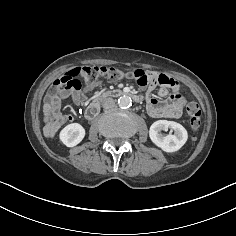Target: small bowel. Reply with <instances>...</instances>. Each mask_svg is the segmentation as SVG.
<instances>
[{"label":"small bowel","instance_id":"c3829d8e","mask_svg":"<svg viewBox=\"0 0 236 236\" xmlns=\"http://www.w3.org/2000/svg\"><path fill=\"white\" fill-rule=\"evenodd\" d=\"M147 74L149 75V82L148 84L141 86L149 85L152 88L158 85V95L162 98L161 100L153 97L146 98V108L148 113L155 118H179L183 112L186 101L179 91L177 82L165 74H158L154 72H149ZM171 81H173V84H170ZM94 86L95 84L76 91H67L63 98L71 97L76 105H83L87 102L88 93ZM169 88L172 89V93L170 95ZM60 102L61 99L56 101L51 97H47L44 102L43 130L45 136L48 138H53L65 123L73 120L71 115H65L60 112Z\"/></svg>","mask_w":236,"mask_h":236}]
</instances>
